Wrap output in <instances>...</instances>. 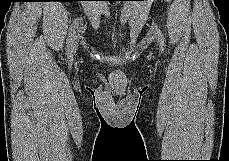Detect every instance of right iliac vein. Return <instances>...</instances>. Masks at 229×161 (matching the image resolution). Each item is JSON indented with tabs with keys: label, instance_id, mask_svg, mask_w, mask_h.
I'll use <instances>...</instances> for the list:
<instances>
[{
	"label": "right iliac vein",
	"instance_id": "obj_1",
	"mask_svg": "<svg viewBox=\"0 0 229 161\" xmlns=\"http://www.w3.org/2000/svg\"><path fill=\"white\" fill-rule=\"evenodd\" d=\"M77 46H78V37L73 42V46H72V50H71V57H73L75 55L76 50H77Z\"/></svg>",
	"mask_w": 229,
	"mask_h": 161
}]
</instances>
